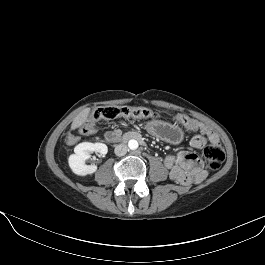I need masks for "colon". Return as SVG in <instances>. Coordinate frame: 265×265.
<instances>
[{"instance_id": "1", "label": "colon", "mask_w": 265, "mask_h": 265, "mask_svg": "<svg viewBox=\"0 0 265 265\" xmlns=\"http://www.w3.org/2000/svg\"><path fill=\"white\" fill-rule=\"evenodd\" d=\"M130 117L136 119H157L158 114L150 109L131 106H103L95 109L81 127V132L85 135L94 134L98 129V124L103 121L113 120L117 117ZM175 120L185 127H194L195 122L192 118L179 114ZM204 158L208 167L212 170H218L224 160L225 151L219 141L211 142L203 151Z\"/></svg>"}]
</instances>
